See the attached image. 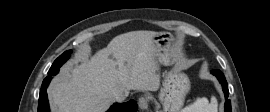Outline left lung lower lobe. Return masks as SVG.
Here are the masks:
<instances>
[{"instance_id":"left-lung-lower-lobe-1","label":"left lung lower lobe","mask_w":270,"mask_h":112,"mask_svg":"<svg viewBox=\"0 0 270 112\" xmlns=\"http://www.w3.org/2000/svg\"><path fill=\"white\" fill-rule=\"evenodd\" d=\"M213 75L216 76V78L219 80V82L222 84V89L225 94V98H228L229 90H228V84L225 79V76L220 70H213L211 71ZM225 112H231V101L227 99L225 102Z\"/></svg>"}]
</instances>
